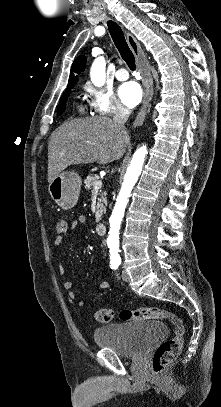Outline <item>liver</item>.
I'll use <instances>...</instances> for the list:
<instances>
[{"instance_id":"1","label":"liver","mask_w":221,"mask_h":407,"mask_svg":"<svg viewBox=\"0 0 221 407\" xmlns=\"http://www.w3.org/2000/svg\"><path fill=\"white\" fill-rule=\"evenodd\" d=\"M129 145L128 132L109 117L65 122L51 134L48 143V182L71 165L107 164L119 160Z\"/></svg>"}]
</instances>
